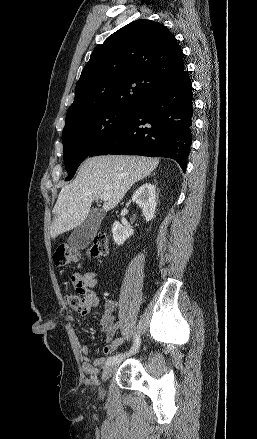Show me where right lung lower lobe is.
Here are the masks:
<instances>
[{"label":"right lung lower lobe","instance_id":"1","mask_svg":"<svg viewBox=\"0 0 257 439\" xmlns=\"http://www.w3.org/2000/svg\"><path fill=\"white\" fill-rule=\"evenodd\" d=\"M192 83L183 71L149 94L132 116L89 156L107 154L168 157L183 171L191 146Z\"/></svg>","mask_w":257,"mask_h":439}]
</instances>
